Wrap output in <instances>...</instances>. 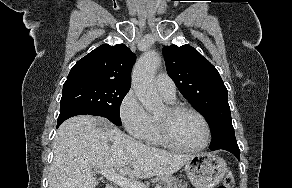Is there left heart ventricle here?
Returning a JSON list of instances; mask_svg holds the SVG:
<instances>
[{
  "label": "left heart ventricle",
  "instance_id": "obj_1",
  "mask_svg": "<svg viewBox=\"0 0 292 188\" xmlns=\"http://www.w3.org/2000/svg\"><path fill=\"white\" fill-rule=\"evenodd\" d=\"M157 118H168L166 108L157 115ZM170 130L176 141L186 147L199 146L205 139V128L202 121L190 112H183L172 117Z\"/></svg>",
  "mask_w": 292,
  "mask_h": 188
}]
</instances>
